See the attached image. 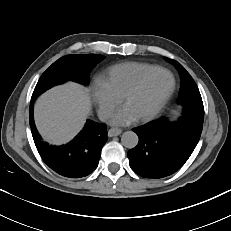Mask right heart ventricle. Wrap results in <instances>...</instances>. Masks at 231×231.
Segmentation results:
<instances>
[{
	"instance_id": "right-heart-ventricle-1",
	"label": "right heart ventricle",
	"mask_w": 231,
	"mask_h": 231,
	"mask_svg": "<svg viewBox=\"0 0 231 231\" xmlns=\"http://www.w3.org/2000/svg\"><path fill=\"white\" fill-rule=\"evenodd\" d=\"M158 68L146 63H121L111 67L101 79L109 90L121 99L142 77Z\"/></svg>"
}]
</instances>
